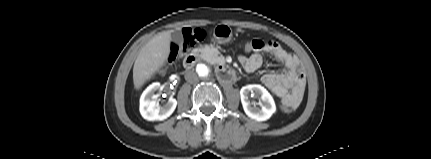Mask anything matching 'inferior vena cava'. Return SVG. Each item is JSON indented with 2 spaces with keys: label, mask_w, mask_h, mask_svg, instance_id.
<instances>
[{
  "label": "inferior vena cava",
  "mask_w": 431,
  "mask_h": 159,
  "mask_svg": "<svg viewBox=\"0 0 431 159\" xmlns=\"http://www.w3.org/2000/svg\"><path fill=\"white\" fill-rule=\"evenodd\" d=\"M185 79L189 83H197L198 75L193 70H190L185 73Z\"/></svg>",
  "instance_id": "inferior-vena-cava-1"
}]
</instances>
